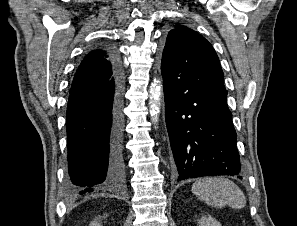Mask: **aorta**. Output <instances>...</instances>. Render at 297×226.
<instances>
[{
	"mask_svg": "<svg viewBox=\"0 0 297 226\" xmlns=\"http://www.w3.org/2000/svg\"><path fill=\"white\" fill-rule=\"evenodd\" d=\"M150 116L153 122L158 121L160 110L161 85L160 80L154 79L149 89Z\"/></svg>",
	"mask_w": 297,
	"mask_h": 226,
	"instance_id": "762f6f07",
	"label": "aorta"
}]
</instances>
